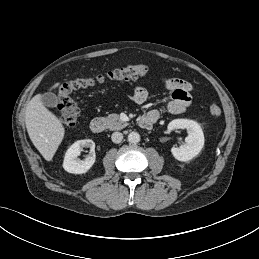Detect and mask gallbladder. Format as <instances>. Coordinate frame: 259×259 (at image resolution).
I'll list each match as a JSON object with an SVG mask.
<instances>
[{"label": "gallbladder", "mask_w": 259, "mask_h": 259, "mask_svg": "<svg viewBox=\"0 0 259 259\" xmlns=\"http://www.w3.org/2000/svg\"><path fill=\"white\" fill-rule=\"evenodd\" d=\"M42 103L47 107H56L58 105V97L54 93H44L41 96Z\"/></svg>", "instance_id": "obj_1"}]
</instances>
